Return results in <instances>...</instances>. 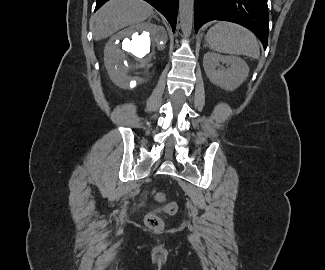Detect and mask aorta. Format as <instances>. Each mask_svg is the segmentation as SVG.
I'll return each mask as SVG.
<instances>
[{"mask_svg": "<svg viewBox=\"0 0 325 270\" xmlns=\"http://www.w3.org/2000/svg\"><path fill=\"white\" fill-rule=\"evenodd\" d=\"M194 0H179L180 27L184 37L192 32Z\"/></svg>", "mask_w": 325, "mask_h": 270, "instance_id": "762f6f07", "label": "aorta"}]
</instances>
